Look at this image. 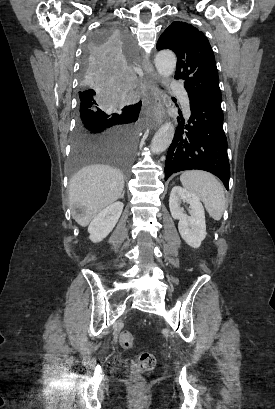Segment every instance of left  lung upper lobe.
<instances>
[{
	"label": "left lung upper lobe",
	"mask_w": 275,
	"mask_h": 409,
	"mask_svg": "<svg viewBox=\"0 0 275 409\" xmlns=\"http://www.w3.org/2000/svg\"><path fill=\"white\" fill-rule=\"evenodd\" d=\"M157 49L174 51L177 56L175 79L185 81L189 94L221 102L215 57L201 31L185 22H173L161 34Z\"/></svg>",
	"instance_id": "obj_1"
}]
</instances>
